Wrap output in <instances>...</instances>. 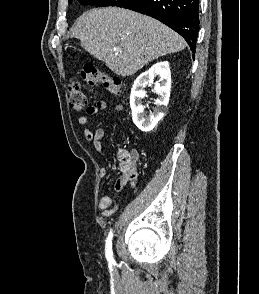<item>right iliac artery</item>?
I'll list each match as a JSON object with an SVG mask.
<instances>
[{
  "instance_id": "right-iliac-artery-1",
  "label": "right iliac artery",
  "mask_w": 259,
  "mask_h": 294,
  "mask_svg": "<svg viewBox=\"0 0 259 294\" xmlns=\"http://www.w3.org/2000/svg\"><path fill=\"white\" fill-rule=\"evenodd\" d=\"M112 238H113V232L110 231L106 239V245H105V255L109 263H114L113 252H112Z\"/></svg>"
}]
</instances>
